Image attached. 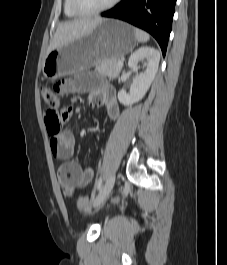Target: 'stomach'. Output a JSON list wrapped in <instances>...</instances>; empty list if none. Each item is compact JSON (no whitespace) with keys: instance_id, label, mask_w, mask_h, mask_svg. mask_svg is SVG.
<instances>
[{"instance_id":"1","label":"stomach","mask_w":227,"mask_h":265,"mask_svg":"<svg viewBox=\"0 0 227 265\" xmlns=\"http://www.w3.org/2000/svg\"><path fill=\"white\" fill-rule=\"evenodd\" d=\"M137 43L133 27L104 19L90 34L53 49L42 64L44 77L55 80L87 70L105 60H119Z\"/></svg>"}]
</instances>
